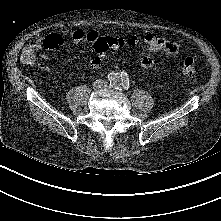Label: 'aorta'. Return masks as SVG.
Masks as SVG:
<instances>
[{"mask_svg": "<svg viewBox=\"0 0 221 221\" xmlns=\"http://www.w3.org/2000/svg\"><path fill=\"white\" fill-rule=\"evenodd\" d=\"M129 80L126 76H122V75H116L113 78V85L116 87H123L126 86L128 84Z\"/></svg>", "mask_w": 221, "mask_h": 221, "instance_id": "obj_1", "label": "aorta"}]
</instances>
